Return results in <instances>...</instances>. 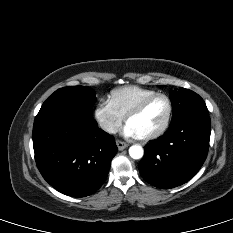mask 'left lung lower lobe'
Wrapping results in <instances>:
<instances>
[{"label":"left lung lower lobe","instance_id":"obj_1","mask_svg":"<svg viewBox=\"0 0 233 233\" xmlns=\"http://www.w3.org/2000/svg\"><path fill=\"white\" fill-rule=\"evenodd\" d=\"M210 132L207 113H194L171 122L163 136L145 146L138 166L141 176L162 189L186 183L207 157Z\"/></svg>","mask_w":233,"mask_h":233}]
</instances>
